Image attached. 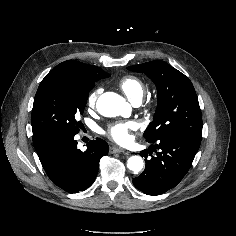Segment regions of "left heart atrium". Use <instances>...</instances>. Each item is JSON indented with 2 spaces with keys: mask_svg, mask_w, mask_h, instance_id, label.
<instances>
[{
  "mask_svg": "<svg viewBox=\"0 0 236 236\" xmlns=\"http://www.w3.org/2000/svg\"><path fill=\"white\" fill-rule=\"evenodd\" d=\"M138 125L134 121L115 123L106 131V134L119 144H126L130 141V132L137 129Z\"/></svg>",
  "mask_w": 236,
  "mask_h": 236,
  "instance_id": "1",
  "label": "left heart atrium"
}]
</instances>
